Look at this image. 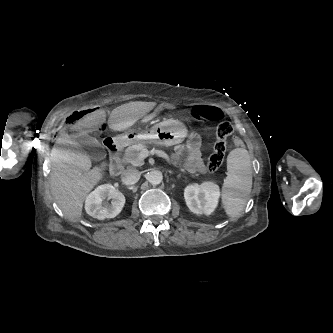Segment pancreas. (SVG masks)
I'll list each match as a JSON object with an SVG mask.
<instances>
[{
    "label": "pancreas",
    "instance_id": "cf45deb5",
    "mask_svg": "<svg viewBox=\"0 0 333 333\" xmlns=\"http://www.w3.org/2000/svg\"><path fill=\"white\" fill-rule=\"evenodd\" d=\"M147 147L145 143H138L128 147L123 156L124 161L136 166L142 165L143 160L140 158V153L142 150L147 149Z\"/></svg>",
    "mask_w": 333,
    "mask_h": 333
}]
</instances>
